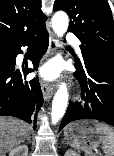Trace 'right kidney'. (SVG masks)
Here are the masks:
<instances>
[{
	"label": "right kidney",
	"instance_id": "1",
	"mask_svg": "<svg viewBox=\"0 0 114 156\" xmlns=\"http://www.w3.org/2000/svg\"><path fill=\"white\" fill-rule=\"evenodd\" d=\"M9 156H28V147L27 145H20L13 148L9 152Z\"/></svg>",
	"mask_w": 114,
	"mask_h": 156
}]
</instances>
